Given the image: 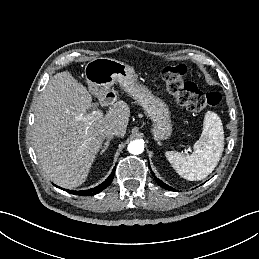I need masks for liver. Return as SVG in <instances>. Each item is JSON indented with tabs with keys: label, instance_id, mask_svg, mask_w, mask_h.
<instances>
[{
	"label": "liver",
	"instance_id": "liver-1",
	"mask_svg": "<svg viewBox=\"0 0 259 259\" xmlns=\"http://www.w3.org/2000/svg\"><path fill=\"white\" fill-rule=\"evenodd\" d=\"M92 96L68 71L54 75L35 108L33 142L46 175L63 188L83 184L110 128L126 133L130 109L123 101L90 124L79 120L92 107Z\"/></svg>",
	"mask_w": 259,
	"mask_h": 259
}]
</instances>
